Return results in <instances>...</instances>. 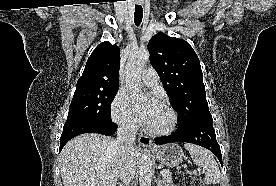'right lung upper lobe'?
Listing matches in <instances>:
<instances>
[{"label":"right lung upper lobe","mask_w":276,"mask_h":186,"mask_svg":"<svg viewBox=\"0 0 276 186\" xmlns=\"http://www.w3.org/2000/svg\"><path fill=\"white\" fill-rule=\"evenodd\" d=\"M120 49L105 41L99 44L87 60L76 89L119 87Z\"/></svg>","instance_id":"right-lung-upper-lobe-1"}]
</instances>
